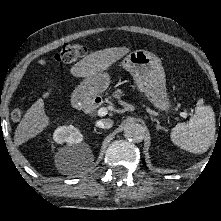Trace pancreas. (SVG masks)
<instances>
[{
  "label": "pancreas",
  "instance_id": "obj_1",
  "mask_svg": "<svg viewBox=\"0 0 221 221\" xmlns=\"http://www.w3.org/2000/svg\"><path fill=\"white\" fill-rule=\"evenodd\" d=\"M122 95H123V91H121L120 89L114 91L113 93V97L116 99H120ZM106 102H110V98L106 99Z\"/></svg>",
  "mask_w": 221,
  "mask_h": 221
}]
</instances>
